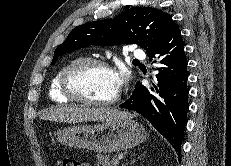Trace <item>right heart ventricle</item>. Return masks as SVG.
I'll list each match as a JSON object with an SVG mask.
<instances>
[{
  "label": "right heart ventricle",
  "instance_id": "e07e8e85",
  "mask_svg": "<svg viewBox=\"0 0 231 166\" xmlns=\"http://www.w3.org/2000/svg\"><path fill=\"white\" fill-rule=\"evenodd\" d=\"M82 58H76L71 60L70 62H68L67 64H65L64 66H62L57 73L55 74V76L53 77L51 83H50V87H49V97L52 101L57 102V103H63V102H67L70 99L68 97H66L60 89V78L62 76L63 71L66 69V67H68L72 62L79 60Z\"/></svg>",
  "mask_w": 231,
  "mask_h": 166
}]
</instances>
